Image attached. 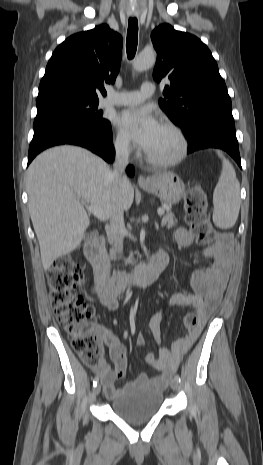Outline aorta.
Returning <instances> with one entry per match:
<instances>
[{
	"instance_id": "1",
	"label": "aorta",
	"mask_w": 263,
	"mask_h": 465,
	"mask_svg": "<svg viewBox=\"0 0 263 465\" xmlns=\"http://www.w3.org/2000/svg\"><path fill=\"white\" fill-rule=\"evenodd\" d=\"M156 54L154 52L143 51L138 54L133 62L135 71H144L155 65Z\"/></svg>"
}]
</instances>
